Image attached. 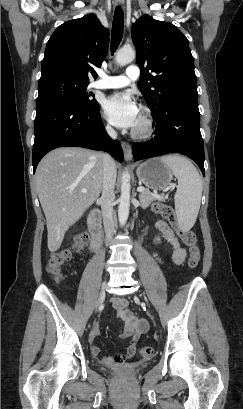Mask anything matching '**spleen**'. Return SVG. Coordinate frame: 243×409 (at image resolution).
Here are the masks:
<instances>
[{"mask_svg": "<svg viewBox=\"0 0 243 409\" xmlns=\"http://www.w3.org/2000/svg\"><path fill=\"white\" fill-rule=\"evenodd\" d=\"M178 179L174 195L175 210L179 227L189 231L195 224L202 197V179L196 167L180 155H166L160 158Z\"/></svg>", "mask_w": 243, "mask_h": 409, "instance_id": "spleen-1", "label": "spleen"}]
</instances>
